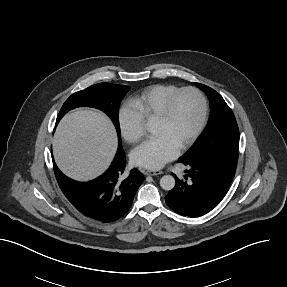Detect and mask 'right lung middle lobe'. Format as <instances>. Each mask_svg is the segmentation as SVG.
Returning <instances> with one entry per match:
<instances>
[{"instance_id":"dd1d6c3e","label":"right lung middle lobe","mask_w":287,"mask_h":287,"mask_svg":"<svg viewBox=\"0 0 287 287\" xmlns=\"http://www.w3.org/2000/svg\"><path fill=\"white\" fill-rule=\"evenodd\" d=\"M129 89L130 87L126 85L99 83L76 92L72 94L63 104L57 117V122L60 121L65 113L73 108L83 106L97 108L106 113L113 121L119 139L118 148H122L118 120V108L121 100Z\"/></svg>"}]
</instances>
